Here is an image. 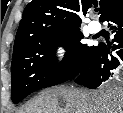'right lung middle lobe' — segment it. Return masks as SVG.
<instances>
[{
  "mask_svg": "<svg viewBox=\"0 0 123 113\" xmlns=\"http://www.w3.org/2000/svg\"><path fill=\"white\" fill-rule=\"evenodd\" d=\"M80 29H71L23 43L13 50L11 63L12 101L16 104L34 91L76 78L89 61L95 46L81 43ZM67 49L56 63L57 46Z\"/></svg>",
  "mask_w": 123,
  "mask_h": 113,
  "instance_id": "right-lung-middle-lobe-1",
  "label": "right lung middle lobe"
}]
</instances>
